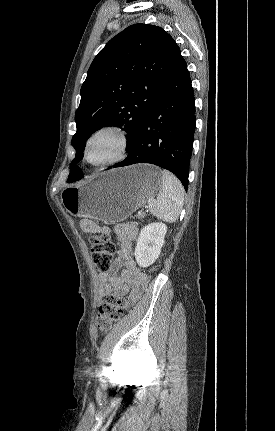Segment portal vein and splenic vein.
Here are the masks:
<instances>
[{
  "instance_id": "18ae733b",
  "label": "portal vein and splenic vein",
  "mask_w": 275,
  "mask_h": 431,
  "mask_svg": "<svg viewBox=\"0 0 275 431\" xmlns=\"http://www.w3.org/2000/svg\"><path fill=\"white\" fill-rule=\"evenodd\" d=\"M152 201H154V197H151L150 199H149V203H151ZM147 207V206H146Z\"/></svg>"
}]
</instances>
